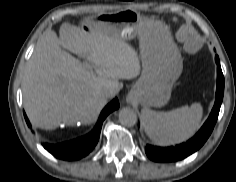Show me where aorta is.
Wrapping results in <instances>:
<instances>
[{
    "label": "aorta",
    "instance_id": "762f6f07",
    "mask_svg": "<svg viewBox=\"0 0 236 182\" xmlns=\"http://www.w3.org/2000/svg\"><path fill=\"white\" fill-rule=\"evenodd\" d=\"M119 121L124 126L132 127L137 123V114L133 109L124 107L119 112Z\"/></svg>",
    "mask_w": 236,
    "mask_h": 182
}]
</instances>
